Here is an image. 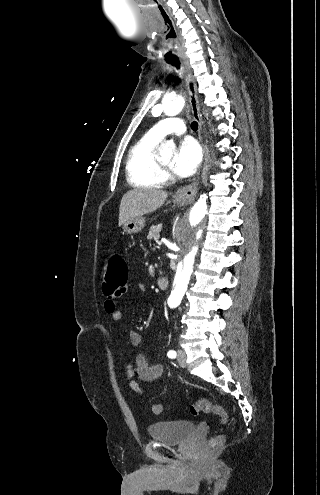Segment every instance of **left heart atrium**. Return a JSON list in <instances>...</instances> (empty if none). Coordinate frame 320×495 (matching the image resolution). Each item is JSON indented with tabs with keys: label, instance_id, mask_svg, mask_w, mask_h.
Segmentation results:
<instances>
[{
	"label": "left heart atrium",
	"instance_id": "39dd6f15",
	"mask_svg": "<svg viewBox=\"0 0 320 495\" xmlns=\"http://www.w3.org/2000/svg\"><path fill=\"white\" fill-rule=\"evenodd\" d=\"M201 161V150L193 139L183 140L171 163V169L179 177L191 176Z\"/></svg>",
	"mask_w": 320,
	"mask_h": 495
}]
</instances>
